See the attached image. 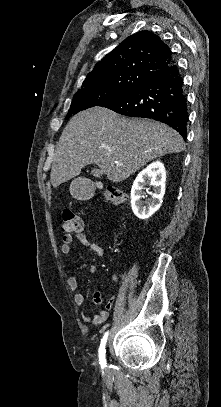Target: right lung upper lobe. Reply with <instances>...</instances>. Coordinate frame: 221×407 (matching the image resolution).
I'll return each mask as SVG.
<instances>
[{"mask_svg":"<svg viewBox=\"0 0 221 407\" xmlns=\"http://www.w3.org/2000/svg\"><path fill=\"white\" fill-rule=\"evenodd\" d=\"M172 62V52L159 36L147 30L140 31L126 38L97 63L81 89L139 85Z\"/></svg>","mask_w":221,"mask_h":407,"instance_id":"right-lung-upper-lobe-1","label":"right lung upper lobe"}]
</instances>
